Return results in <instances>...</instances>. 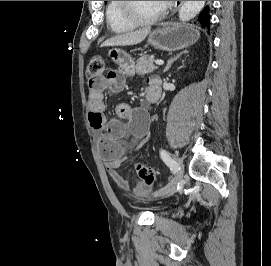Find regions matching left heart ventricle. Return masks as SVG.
<instances>
[{
	"mask_svg": "<svg viewBox=\"0 0 271 266\" xmlns=\"http://www.w3.org/2000/svg\"><path fill=\"white\" fill-rule=\"evenodd\" d=\"M133 11L141 18H150L156 15L162 5L159 1H132Z\"/></svg>",
	"mask_w": 271,
	"mask_h": 266,
	"instance_id": "obj_1",
	"label": "left heart ventricle"
}]
</instances>
